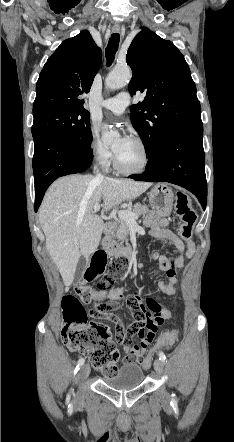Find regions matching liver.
I'll use <instances>...</instances> for the list:
<instances>
[{
	"mask_svg": "<svg viewBox=\"0 0 234 442\" xmlns=\"http://www.w3.org/2000/svg\"><path fill=\"white\" fill-rule=\"evenodd\" d=\"M152 183L129 179L69 175L56 180L47 190L39 209L46 248L69 290L81 256L89 259L99 246L103 221L93 206L103 199L106 212L143 194Z\"/></svg>",
	"mask_w": 234,
	"mask_h": 442,
	"instance_id": "obj_1",
	"label": "liver"
}]
</instances>
